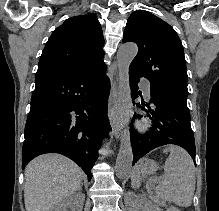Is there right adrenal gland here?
I'll return each mask as SVG.
<instances>
[{
  "label": "right adrenal gland",
  "instance_id": "1",
  "mask_svg": "<svg viewBox=\"0 0 219 211\" xmlns=\"http://www.w3.org/2000/svg\"><path fill=\"white\" fill-rule=\"evenodd\" d=\"M78 193H82V187H79V189H77ZM77 191H75V193H77Z\"/></svg>",
  "mask_w": 219,
  "mask_h": 211
}]
</instances>
